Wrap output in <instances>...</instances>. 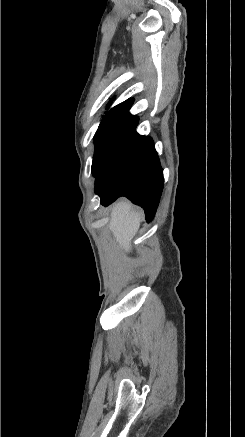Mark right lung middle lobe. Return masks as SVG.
<instances>
[{"label":"right lung middle lobe","mask_w":245,"mask_h":437,"mask_svg":"<svg viewBox=\"0 0 245 437\" xmlns=\"http://www.w3.org/2000/svg\"><path fill=\"white\" fill-rule=\"evenodd\" d=\"M138 124V118L129 113V108L114 107L106 112L94 136L95 152L92 173L97 174L115 146Z\"/></svg>","instance_id":"right-lung-middle-lobe-1"}]
</instances>
